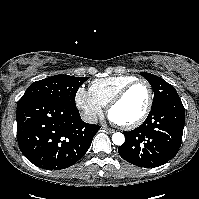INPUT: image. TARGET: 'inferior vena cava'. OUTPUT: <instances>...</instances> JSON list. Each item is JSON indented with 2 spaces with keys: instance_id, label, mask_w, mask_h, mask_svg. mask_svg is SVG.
Returning <instances> with one entry per match:
<instances>
[{
  "instance_id": "inferior-vena-cava-1",
  "label": "inferior vena cava",
  "mask_w": 199,
  "mask_h": 199,
  "mask_svg": "<svg viewBox=\"0 0 199 199\" xmlns=\"http://www.w3.org/2000/svg\"><path fill=\"white\" fill-rule=\"evenodd\" d=\"M81 118L84 122L89 124H96L98 122L97 115L93 112H84Z\"/></svg>"
}]
</instances>
